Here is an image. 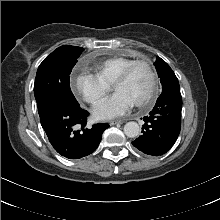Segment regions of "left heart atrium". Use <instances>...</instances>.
I'll list each match as a JSON object with an SVG mask.
<instances>
[{"instance_id": "obj_1", "label": "left heart atrium", "mask_w": 220, "mask_h": 220, "mask_svg": "<svg viewBox=\"0 0 220 220\" xmlns=\"http://www.w3.org/2000/svg\"><path fill=\"white\" fill-rule=\"evenodd\" d=\"M134 102L123 92H117L105 99L93 109V116L98 120L111 119L128 112Z\"/></svg>"}]
</instances>
